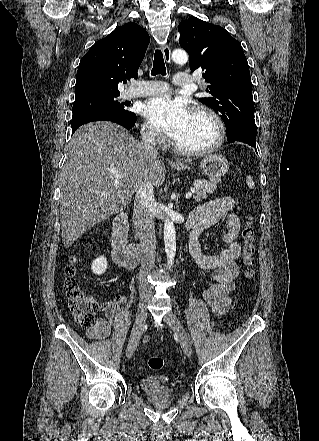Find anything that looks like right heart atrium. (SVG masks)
<instances>
[{
  "label": "right heart atrium",
  "instance_id": "d8ad5b80",
  "mask_svg": "<svg viewBox=\"0 0 319 441\" xmlns=\"http://www.w3.org/2000/svg\"><path fill=\"white\" fill-rule=\"evenodd\" d=\"M141 135L142 139L150 144L161 145L164 141L161 133L147 122L141 126Z\"/></svg>",
  "mask_w": 319,
  "mask_h": 441
}]
</instances>
